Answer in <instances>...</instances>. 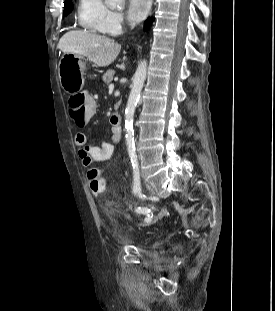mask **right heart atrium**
Wrapping results in <instances>:
<instances>
[{
	"label": "right heart atrium",
	"mask_w": 275,
	"mask_h": 311,
	"mask_svg": "<svg viewBox=\"0 0 275 311\" xmlns=\"http://www.w3.org/2000/svg\"><path fill=\"white\" fill-rule=\"evenodd\" d=\"M125 19L123 15L116 11H111L107 19V30L111 34H117L124 29Z\"/></svg>",
	"instance_id": "right-heart-atrium-1"
}]
</instances>
